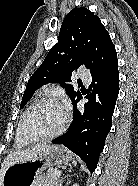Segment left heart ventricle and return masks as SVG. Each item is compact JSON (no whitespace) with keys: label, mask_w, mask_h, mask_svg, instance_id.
<instances>
[{"label":"left heart ventricle","mask_w":138,"mask_h":186,"mask_svg":"<svg viewBox=\"0 0 138 186\" xmlns=\"http://www.w3.org/2000/svg\"><path fill=\"white\" fill-rule=\"evenodd\" d=\"M65 120V110L58 105H45L35 109L26 119L25 129L36 137L58 131Z\"/></svg>","instance_id":"b2bd125f"}]
</instances>
